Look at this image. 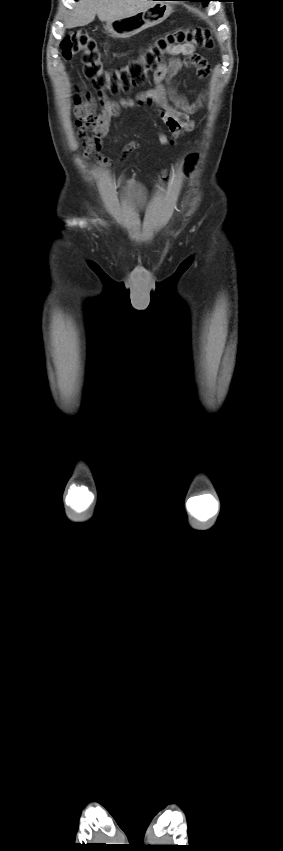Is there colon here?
I'll return each instance as SVG.
<instances>
[{"instance_id": "colon-1", "label": "colon", "mask_w": 283, "mask_h": 851, "mask_svg": "<svg viewBox=\"0 0 283 851\" xmlns=\"http://www.w3.org/2000/svg\"><path fill=\"white\" fill-rule=\"evenodd\" d=\"M193 45L201 48L213 46L209 30L202 28L178 27L168 30L154 38L148 47L143 49L138 58L133 59L126 67L106 70L102 63L101 51L94 37L84 30L75 31L66 36L61 42V51L69 60L77 54L82 55L84 74L92 82L94 89L101 93L108 89L112 93L128 91L135 85L145 82L147 71H156L164 62L170 49L174 46ZM196 162V156L190 155L186 161V171L191 172ZM167 180V175L163 176Z\"/></svg>"}]
</instances>
